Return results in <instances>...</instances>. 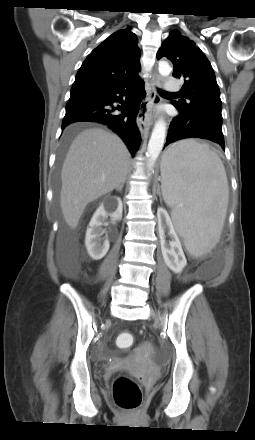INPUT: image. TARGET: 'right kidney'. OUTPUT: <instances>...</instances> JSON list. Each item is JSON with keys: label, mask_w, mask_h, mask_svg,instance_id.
Masks as SVG:
<instances>
[{"label": "right kidney", "mask_w": 255, "mask_h": 440, "mask_svg": "<svg viewBox=\"0 0 255 440\" xmlns=\"http://www.w3.org/2000/svg\"><path fill=\"white\" fill-rule=\"evenodd\" d=\"M116 201L111 203L112 212L110 217L112 221H119L122 218L123 205L119 197ZM107 211L103 204H101L92 216L89 227L86 231L85 246L89 256L93 260L102 259L109 250V241L101 239L104 231L102 229L103 222L107 218Z\"/></svg>", "instance_id": "1"}]
</instances>
